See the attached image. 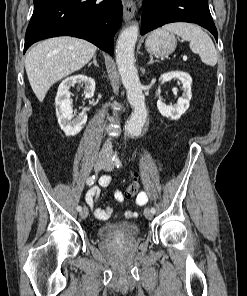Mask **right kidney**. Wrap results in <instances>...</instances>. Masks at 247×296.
<instances>
[{
	"instance_id": "1",
	"label": "right kidney",
	"mask_w": 247,
	"mask_h": 296,
	"mask_svg": "<svg viewBox=\"0 0 247 296\" xmlns=\"http://www.w3.org/2000/svg\"><path fill=\"white\" fill-rule=\"evenodd\" d=\"M76 83L85 86V98H92L95 92L94 79L83 74L67 77L59 85L55 98L56 116L61 129L67 136L78 134L87 122V115L84 112L75 115L71 107L69 89Z\"/></svg>"
}]
</instances>
